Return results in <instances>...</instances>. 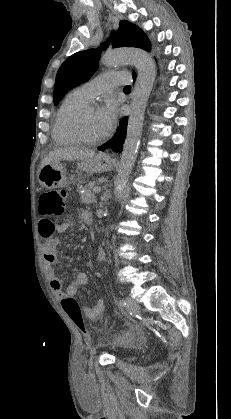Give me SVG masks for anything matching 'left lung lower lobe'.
<instances>
[{"label":"left lung lower lobe","mask_w":231,"mask_h":419,"mask_svg":"<svg viewBox=\"0 0 231 419\" xmlns=\"http://www.w3.org/2000/svg\"><path fill=\"white\" fill-rule=\"evenodd\" d=\"M133 77L135 78V73L133 74ZM127 119H128L127 117H124L120 121V125L117 129L115 136L106 144L98 147L99 150L104 151L108 147L112 148L114 151L122 150V144L124 142L125 135H126Z\"/></svg>","instance_id":"obj_1"}]
</instances>
